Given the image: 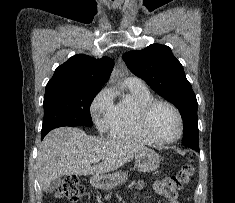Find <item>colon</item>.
<instances>
[{"label":"colon","instance_id":"5ec220e1","mask_svg":"<svg viewBox=\"0 0 235 203\" xmlns=\"http://www.w3.org/2000/svg\"><path fill=\"white\" fill-rule=\"evenodd\" d=\"M194 169L191 164H185L180 171L170 177L155 182L153 188L155 193L167 200H174L178 192L189 181L193 175ZM84 194L83 186L78 178L73 175H68L63 178L62 184L56 189L55 196L60 199H67L76 202L82 198Z\"/></svg>","mask_w":235,"mask_h":203}]
</instances>
